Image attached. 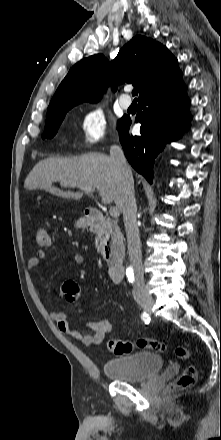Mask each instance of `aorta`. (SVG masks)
Here are the masks:
<instances>
[{
    "mask_svg": "<svg viewBox=\"0 0 221 440\" xmlns=\"http://www.w3.org/2000/svg\"><path fill=\"white\" fill-rule=\"evenodd\" d=\"M126 275H127L128 280H130V281L133 280V269L131 267H127Z\"/></svg>",
    "mask_w": 221,
    "mask_h": 440,
    "instance_id": "1",
    "label": "aorta"
}]
</instances>
